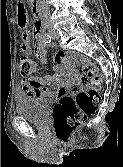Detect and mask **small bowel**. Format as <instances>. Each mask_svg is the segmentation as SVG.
Segmentation results:
<instances>
[{"mask_svg": "<svg viewBox=\"0 0 123 167\" xmlns=\"http://www.w3.org/2000/svg\"><path fill=\"white\" fill-rule=\"evenodd\" d=\"M18 24L25 30L22 33L21 51L24 55H31L34 51L37 59L45 64L47 62L48 46L43 41L44 31L37 22L34 25L33 33L26 29L28 20L27 7L17 5ZM33 38V46L31 39ZM63 59L61 52L55 55L57 62V73L47 77H32L21 81V91L26 96L50 98L56 94L60 97L65 95L70 89L77 87V82L73 77L62 78L60 76V62Z\"/></svg>", "mask_w": 123, "mask_h": 167, "instance_id": "small-bowel-1", "label": "small bowel"}]
</instances>
